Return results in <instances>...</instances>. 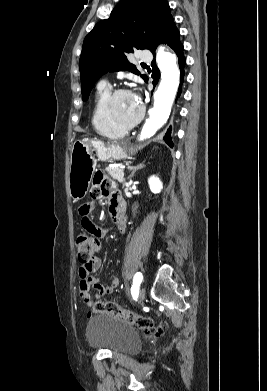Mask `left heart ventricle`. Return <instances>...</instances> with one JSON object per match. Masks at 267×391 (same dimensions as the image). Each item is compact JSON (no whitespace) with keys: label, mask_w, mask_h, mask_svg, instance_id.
<instances>
[{"label":"left heart ventricle","mask_w":267,"mask_h":391,"mask_svg":"<svg viewBox=\"0 0 267 391\" xmlns=\"http://www.w3.org/2000/svg\"><path fill=\"white\" fill-rule=\"evenodd\" d=\"M139 111L140 106L130 93L118 96L114 102V114L123 123H129L134 120L138 116Z\"/></svg>","instance_id":"b2bd125f"}]
</instances>
